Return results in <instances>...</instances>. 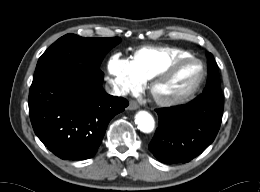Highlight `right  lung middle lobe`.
Segmentation results:
<instances>
[{"label":"right lung middle lobe","instance_id":"obj_1","mask_svg":"<svg viewBox=\"0 0 260 192\" xmlns=\"http://www.w3.org/2000/svg\"><path fill=\"white\" fill-rule=\"evenodd\" d=\"M120 41L119 37L83 38L75 34H66L53 43L39 58L34 77L61 63L99 67L105 54Z\"/></svg>","mask_w":260,"mask_h":192}]
</instances>
